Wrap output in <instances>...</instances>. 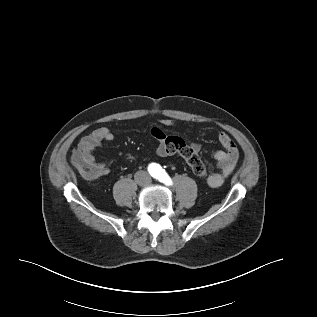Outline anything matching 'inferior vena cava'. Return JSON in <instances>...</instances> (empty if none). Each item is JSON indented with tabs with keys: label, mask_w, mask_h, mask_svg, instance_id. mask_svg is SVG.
<instances>
[{
	"label": "inferior vena cava",
	"mask_w": 317,
	"mask_h": 317,
	"mask_svg": "<svg viewBox=\"0 0 317 317\" xmlns=\"http://www.w3.org/2000/svg\"><path fill=\"white\" fill-rule=\"evenodd\" d=\"M134 179L139 185H147L151 182V177L145 171H137L134 175Z\"/></svg>",
	"instance_id": "1"
}]
</instances>
